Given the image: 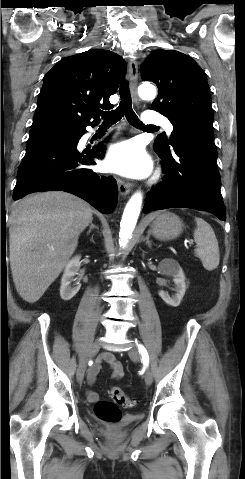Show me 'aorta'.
<instances>
[{"label": "aorta", "instance_id": "762f6f07", "mask_svg": "<svg viewBox=\"0 0 245 479\" xmlns=\"http://www.w3.org/2000/svg\"><path fill=\"white\" fill-rule=\"evenodd\" d=\"M139 96L144 100H153L156 96V88L153 85H141L138 88ZM142 205L141 192L135 193L128 201L120 222L119 244L126 246L128 240L131 238L133 230L136 226Z\"/></svg>", "mask_w": 245, "mask_h": 479}]
</instances>
